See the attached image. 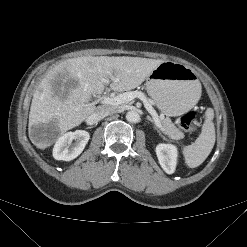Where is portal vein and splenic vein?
Listing matches in <instances>:
<instances>
[{
  "label": "portal vein and splenic vein",
  "mask_w": 247,
  "mask_h": 247,
  "mask_svg": "<svg viewBox=\"0 0 247 247\" xmlns=\"http://www.w3.org/2000/svg\"><path fill=\"white\" fill-rule=\"evenodd\" d=\"M134 98H139L143 102L144 107L152 115L157 127L160 128V130L163 133H165L157 112L152 107V105L148 102V100L146 99V97L144 96L142 92L132 91V92H125L115 97H102L100 99V103L104 105L116 106V105H120L123 103H127L133 100Z\"/></svg>",
  "instance_id": "obj_1"
}]
</instances>
